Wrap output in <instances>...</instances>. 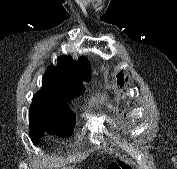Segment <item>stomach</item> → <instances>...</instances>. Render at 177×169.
Returning <instances> with one entry per match:
<instances>
[{
    "mask_svg": "<svg viewBox=\"0 0 177 169\" xmlns=\"http://www.w3.org/2000/svg\"><path fill=\"white\" fill-rule=\"evenodd\" d=\"M108 169H134V167L131 163H128L127 161L115 160L109 165Z\"/></svg>",
    "mask_w": 177,
    "mask_h": 169,
    "instance_id": "stomach-1",
    "label": "stomach"
}]
</instances>
